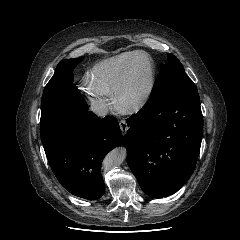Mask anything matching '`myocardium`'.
I'll return each instance as SVG.
<instances>
[{"label":"myocardium","instance_id":"f54148a6","mask_svg":"<svg viewBox=\"0 0 240 240\" xmlns=\"http://www.w3.org/2000/svg\"><path fill=\"white\" fill-rule=\"evenodd\" d=\"M145 73L148 79L147 87L140 95L134 98H127V92L136 77ZM154 88V67L148 60L140 68L134 66L133 60H130L122 69L120 76L113 89L114 99L118 107L125 113L139 111L150 99Z\"/></svg>","mask_w":240,"mask_h":240}]
</instances>
